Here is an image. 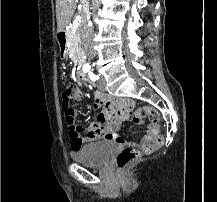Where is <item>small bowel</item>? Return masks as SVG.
Segmentation results:
<instances>
[{
	"mask_svg": "<svg viewBox=\"0 0 217 202\" xmlns=\"http://www.w3.org/2000/svg\"><path fill=\"white\" fill-rule=\"evenodd\" d=\"M83 93L78 86L72 85L70 87V98L73 100H81ZM94 103L93 107L99 111L97 121L91 123L88 128L82 126H73L69 131L67 141H81L71 142V147H82L84 143L96 142L102 138L112 139L119 144H125V139L116 133V125L114 121H126L130 113L134 112L136 105L133 101H108L111 97L107 93L95 91L93 93ZM85 134L84 137L80 134ZM159 133V127L152 122L148 125L146 134L143 139L132 145H141L153 140Z\"/></svg>",
	"mask_w": 217,
	"mask_h": 202,
	"instance_id": "obj_1",
	"label": "small bowel"
}]
</instances>
